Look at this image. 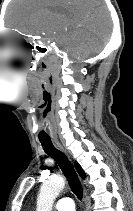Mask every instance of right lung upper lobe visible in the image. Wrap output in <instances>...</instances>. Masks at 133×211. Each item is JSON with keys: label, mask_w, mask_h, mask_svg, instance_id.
<instances>
[{"label": "right lung upper lobe", "mask_w": 133, "mask_h": 211, "mask_svg": "<svg viewBox=\"0 0 133 211\" xmlns=\"http://www.w3.org/2000/svg\"><path fill=\"white\" fill-rule=\"evenodd\" d=\"M75 166H76V169H77L79 175L81 176V178L84 179L86 175H85L83 169L81 168V166L77 162L75 163Z\"/></svg>", "instance_id": "cb5924a9"}]
</instances>
